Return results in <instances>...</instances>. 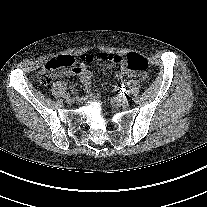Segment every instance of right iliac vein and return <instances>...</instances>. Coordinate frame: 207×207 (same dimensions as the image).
Segmentation results:
<instances>
[{"label":"right iliac vein","instance_id":"right-iliac-vein-1","mask_svg":"<svg viewBox=\"0 0 207 207\" xmlns=\"http://www.w3.org/2000/svg\"><path fill=\"white\" fill-rule=\"evenodd\" d=\"M66 101L68 104H73L75 102V98L69 97Z\"/></svg>","mask_w":207,"mask_h":207}]
</instances>
